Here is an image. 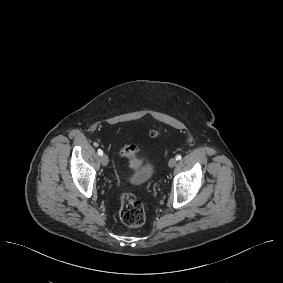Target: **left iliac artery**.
Listing matches in <instances>:
<instances>
[{
  "mask_svg": "<svg viewBox=\"0 0 283 283\" xmlns=\"http://www.w3.org/2000/svg\"><path fill=\"white\" fill-rule=\"evenodd\" d=\"M182 159V156L181 155H177L176 156V160H181Z\"/></svg>",
  "mask_w": 283,
  "mask_h": 283,
  "instance_id": "44dca946",
  "label": "left iliac artery"
}]
</instances>
